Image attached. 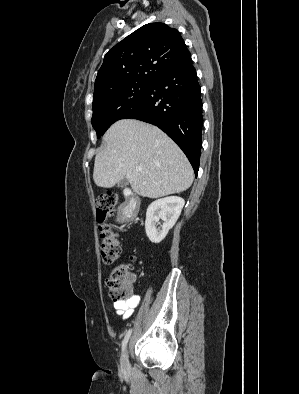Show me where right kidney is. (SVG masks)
<instances>
[{"label": "right kidney", "instance_id": "1", "mask_svg": "<svg viewBox=\"0 0 299 394\" xmlns=\"http://www.w3.org/2000/svg\"><path fill=\"white\" fill-rule=\"evenodd\" d=\"M185 201L181 197L170 196L153 201L147 208L145 231L152 243H160L175 225ZM163 220L161 229H157L159 220Z\"/></svg>", "mask_w": 299, "mask_h": 394}]
</instances>
